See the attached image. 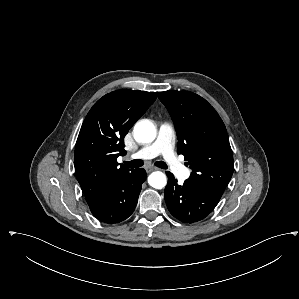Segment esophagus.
Segmentation results:
<instances>
[{
    "mask_svg": "<svg viewBox=\"0 0 299 299\" xmlns=\"http://www.w3.org/2000/svg\"><path fill=\"white\" fill-rule=\"evenodd\" d=\"M158 168H156V167H152V166H146L145 167V171L147 172V173H150V172H152V171H154V170H157Z\"/></svg>",
    "mask_w": 299,
    "mask_h": 299,
    "instance_id": "34e87169",
    "label": "esophagus"
}]
</instances>
